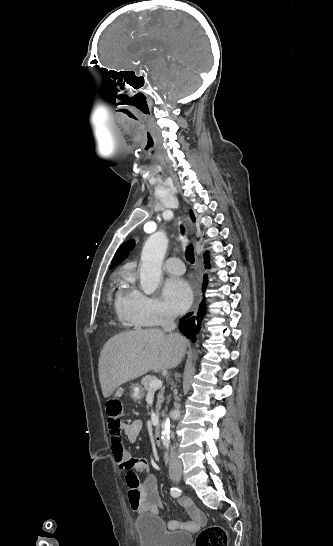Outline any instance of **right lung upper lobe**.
I'll return each mask as SVG.
<instances>
[{"mask_svg": "<svg viewBox=\"0 0 333 546\" xmlns=\"http://www.w3.org/2000/svg\"><path fill=\"white\" fill-rule=\"evenodd\" d=\"M190 215H191V218L193 220H195V216H194L192 211H190ZM134 245H135L134 240H129L126 243H124L123 245H121L120 248L117 250V252L114 255V258L112 260L111 268L113 266H116L119 263H121L129 255V253L133 249Z\"/></svg>", "mask_w": 333, "mask_h": 546, "instance_id": "1", "label": "right lung upper lobe"}]
</instances>
